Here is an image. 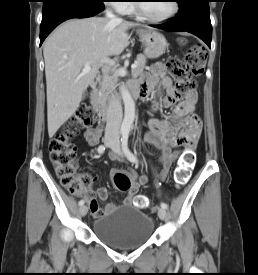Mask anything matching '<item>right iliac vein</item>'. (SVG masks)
I'll list each match as a JSON object with an SVG mask.
<instances>
[{"label": "right iliac vein", "mask_w": 258, "mask_h": 275, "mask_svg": "<svg viewBox=\"0 0 258 275\" xmlns=\"http://www.w3.org/2000/svg\"><path fill=\"white\" fill-rule=\"evenodd\" d=\"M112 143H113V140L111 138H108L105 140V145L108 147H110L112 145ZM79 211H80L81 216H85L88 212V207L86 205H83L80 207Z\"/></svg>", "instance_id": "63e3f726"}]
</instances>
